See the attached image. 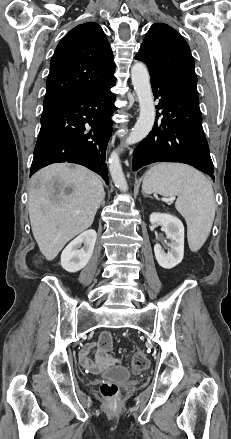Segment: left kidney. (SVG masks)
<instances>
[{
    "mask_svg": "<svg viewBox=\"0 0 231 439\" xmlns=\"http://www.w3.org/2000/svg\"><path fill=\"white\" fill-rule=\"evenodd\" d=\"M152 224L160 223L169 239L168 253H165L160 244L154 246V253L158 264L171 269L178 265L184 256V226L180 219L170 214L152 213Z\"/></svg>",
    "mask_w": 231,
    "mask_h": 439,
    "instance_id": "5707ae66",
    "label": "left kidney"
}]
</instances>
